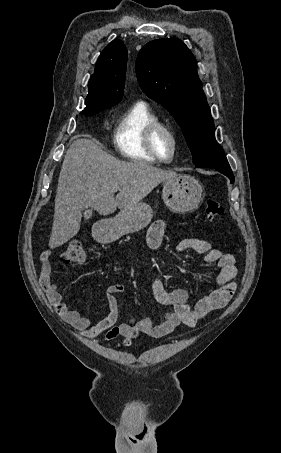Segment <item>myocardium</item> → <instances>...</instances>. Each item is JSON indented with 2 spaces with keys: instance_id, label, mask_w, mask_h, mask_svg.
I'll use <instances>...</instances> for the list:
<instances>
[{
  "instance_id": "f54148a6",
  "label": "myocardium",
  "mask_w": 281,
  "mask_h": 453,
  "mask_svg": "<svg viewBox=\"0 0 281 453\" xmlns=\"http://www.w3.org/2000/svg\"><path fill=\"white\" fill-rule=\"evenodd\" d=\"M162 136H166L171 143V154L169 158H164L158 150V142ZM146 144L149 153L161 163H171L177 154L178 137L173 128L163 122L153 123L146 135Z\"/></svg>"
}]
</instances>
